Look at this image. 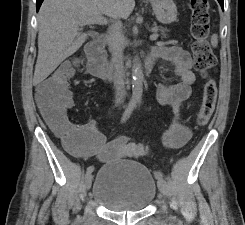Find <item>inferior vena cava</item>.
I'll use <instances>...</instances> for the list:
<instances>
[{
	"label": "inferior vena cava",
	"instance_id": "1",
	"mask_svg": "<svg viewBox=\"0 0 245 225\" xmlns=\"http://www.w3.org/2000/svg\"><path fill=\"white\" fill-rule=\"evenodd\" d=\"M109 51L112 54L111 63L115 68V94L117 104H121L125 97V86L123 82V50L125 47L122 25L120 21H115L114 26L106 35Z\"/></svg>",
	"mask_w": 245,
	"mask_h": 225
}]
</instances>
